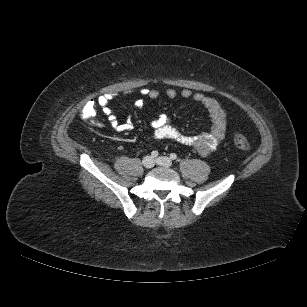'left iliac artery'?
<instances>
[{"label": "left iliac artery", "mask_w": 307, "mask_h": 307, "mask_svg": "<svg viewBox=\"0 0 307 307\" xmlns=\"http://www.w3.org/2000/svg\"><path fill=\"white\" fill-rule=\"evenodd\" d=\"M170 158H171L172 160H177V155H176L175 153H171V154H170Z\"/></svg>", "instance_id": "44dca946"}]
</instances>
